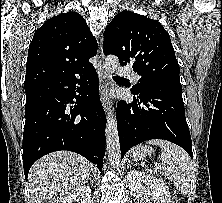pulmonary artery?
Segmentation results:
<instances>
[{"mask_svg": "<svg viewBox=\"0 0 222 203\" xmlns=\"http://www.w3.org/2000/svg\"><path fill=\"white\" fill-rule=\"evenodd\" d=\"M118 73L123 77H130L134 80H138V76L134 73V71L128 66H122L119 68Z\"/></svg>", "mask_w": 222, "mask_h": 203, "instance_id": "obj_1", "label": "pulmonary artery"}]
</instances>
